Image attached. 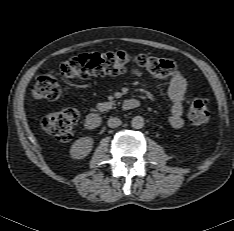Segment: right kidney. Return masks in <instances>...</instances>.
<instances>
[{
  "mask_svg": "<svg viewBox=\"0 0 234 231\" xmlns=\"http://www.w3.org/2000/svg\"><path fill=\"white\" fill-rule=\"evenodd\" d=\"M93 148V138L89 136L81 137L71 146V156L76 159L86 157Z\"/></svg>",
  "mask_w": 234,
  "mask_h": 231,
  "instance_id": "1",
  "label": "right kidney"
}]
</instances>
